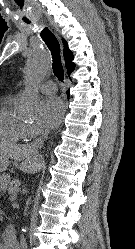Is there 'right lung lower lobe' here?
I'll return each instance as SVG.
<instances>
[{"label": "right lung lower lobe", "mask_w": 135, "mask_h": 249, "mask_svg": "<svg viewBox=\"0 0 135 249\" xmlns=\"http://www.w3.org/2000/svg\"><path fill=\"white\" fill-rule=\"evenodd\" d=\"M68 93H69V91L67 92V96L69 97V94H68Z\"/></svg>", "instance_id": "obj_1"}]
</instances>
